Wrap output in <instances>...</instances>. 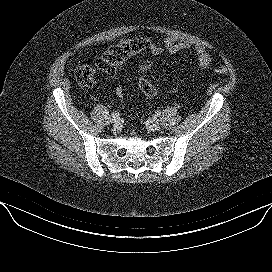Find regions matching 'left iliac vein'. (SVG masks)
Instances as JSON below:
<instances>
[{"instance_id": "left-iliac-vein-1", "label": "left iliac vein", "mask_w": 272, "mask_h": 272, "mask_svg": "<svg viewBox=\"0 0 272 272\" xmlns=\"http://www.w3.org/2000/svg\"><path fill=\"white\" fill-rule=\"evenodd\" d=\"M147 127L152 131H157L160 129V123L156 119H149L147 121Z\"/></svg>"}]
</instances>
